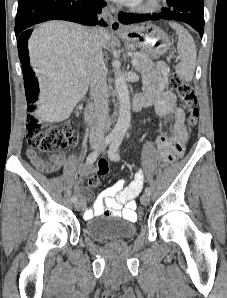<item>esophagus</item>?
I'll return each instance as SVG.
<instances>
[{
    "mask_svg": "<svg viewBox=\"0 0 227 298\" xmlns=\"http://www.w3.org/2000/svg\"><path fill=\"white\" fill-rule=\"evenodd\" d=\"M103 19L108 21V24H109L111 30L116 31V32H120L123 30L122 25L118 21V10L116 7L110 6L106 19L104 16H103ZM99 20H101V19H99Z\"/></svg>",
    "mask_w": 227,
    "mask_h": 298,
    "instance_id": "esophagus-1",
    "label": "esophagus"
}]
</instances>
